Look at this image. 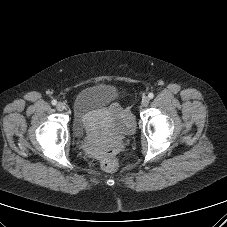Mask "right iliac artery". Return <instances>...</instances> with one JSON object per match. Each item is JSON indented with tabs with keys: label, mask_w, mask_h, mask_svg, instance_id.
Wrapping results in <instances>:
<instances>
[{
	"label": "right iliac artery",
	"mask_w": 227,
	"mask_h": 227,
	"mask_svg": "<svg viewBox=\"0 0 227 227\" xmlns=\"http://www.w3.org/2000/svg\"><path fill=\"white\" fill-rule=\"evenodd\" d=\"M52 105H56L57 104V101L54 99L51 101Z\"/></svg>",
	"instance_id": "1"
}]
</instances>
